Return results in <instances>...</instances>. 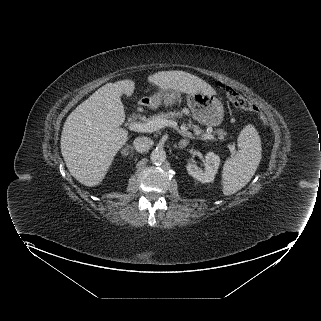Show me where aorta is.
I'll return each mask as SVG.
<instances>
[{
    "label": "aorta",
    "instance_id": "762f6f07",
    "mask_svg": "<svg viewBox=\"0 0 321 321\" xmlns=\"http://www.w3.org/2000/svg\"><path fill=\"white\" fill-rule=\"evenodd\" d=\"M150 159L153 164H162L166 160V152L163 149H155L151 152Z\"/></svg>",
    "mask_w": 321,
    "mask_h": 321
}]
</instances>
